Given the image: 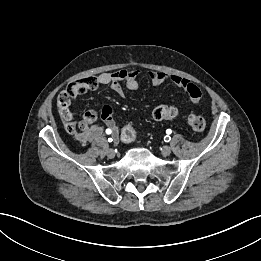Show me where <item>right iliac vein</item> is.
<instances>
[{
  "instance_id": "1",
  "label": "right iliac vein",
  "mask_w": 261,
  "mask_h": 261,
  "mask_svg": "<svg viewBox=\"0 0 261 261\" xmlns=\"http://www.w3.org/2000/svg\"><path fill=\"white\" fill-rule=\"evenodd\" d=\"M107 156L109 158H114L115 157V151L113 149H108L107 150Z\"/></svg>"
}]
</instances>
